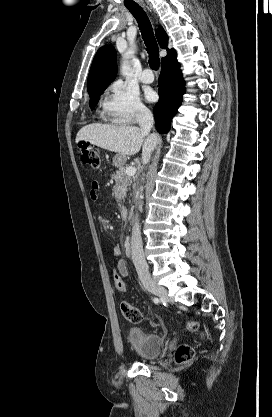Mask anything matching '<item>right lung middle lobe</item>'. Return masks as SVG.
Returning <instances> with one entry per match:
<instances>
[{
    "instance_id": "right-lung-middle-lobe-1",
    "label": "right lung middle lobe",
    "mask_w": 272,
    "mask_h": 417,
    "mask_svg": "<svg viewBox=\"0 0 272 417\" xmlns=\"http://www.w3.org/2000/svg\"><path fill=\"white\" fill-rule=\"evenodd\" d=\"M105 90V88L103 89H99L93 92H89L90 95V107H92V109L97 105L98 101H99V96L103 93V91Z\"/></svg>"
}]
</instances>
